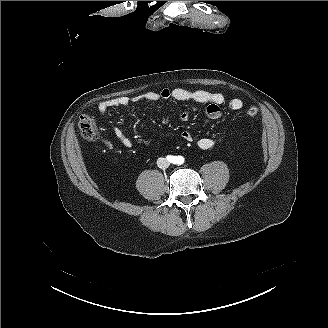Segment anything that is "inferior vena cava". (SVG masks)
I'll return each mask as SVG.
<instances>
[{
  "label": "inferior vena cava",
  "instance_id": "inferior-vena-cava-1",
  "mask_svg": "<svg viewBox=\"0 0 328 328\" xmlns=\"http://www.w3.org/2000/svg\"><path fill=\"white\" fill-rule=\"evenodd\" d=\"M157 165L159 167L167 168L169 166V162L165 158H158Z\"/></svg>",
  "mask_w": 328,
  "mask_h": 328
}]
</instances>
